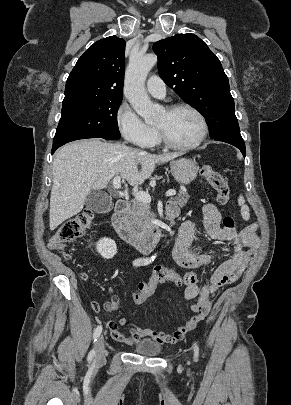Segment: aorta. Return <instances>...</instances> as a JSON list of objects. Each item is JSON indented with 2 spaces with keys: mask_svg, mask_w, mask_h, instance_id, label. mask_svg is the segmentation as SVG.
Masks as SVG:
<instances>
[{
  "mask_svg": "<svg viewBox=\"0 0 291 405\" xmlns=\"http://www.w3.org/2000/svg\"><path fill=\"white\" fill-rule=\"evenodd\" d=\"M156 62L157 57L154 54L132 55L125 74V96L136 113L147 123L154 121L160 110L151 102L145 90L146 77ZM154 258L155 256L152 257Z\"/></svg>",
  "mask_w": 291,
  "mask_h": 405,
  "instance_id": "aorta-1",
  "label": "aorta"
}]
</instances>
